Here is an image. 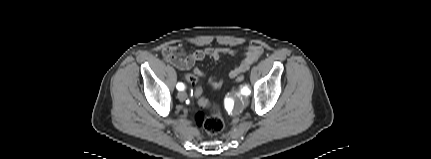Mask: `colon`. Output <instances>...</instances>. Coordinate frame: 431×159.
I'll return each instance as SVG.
<instances>
[{
    "label": "colon",
    "instance_id": "1",
    "mask_svg": "<svg viewBox=\"0 0 431 159\" xmlns=\"http://www.w3.org/2000/svg\"><path fill=\"white\" fill-rule=\"evenodd\" d=\"M183 78L190 82L194 87V93L197 97V104L200 105V110L196 113L195 121L198 127L203 129L209 135L220 133L224 128V121L221 115L220 108L215 104H210L203 95V86L201 80L196 78L194 74L186 71L183 73ZM245 73H240L235 79V83H242L245 80ZM209 109L206 113L205 109Z\"/></svg>",
    "mask_w": 431,
    "mask_h": 159
}]
</instances>
